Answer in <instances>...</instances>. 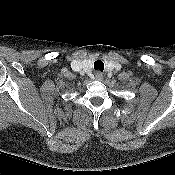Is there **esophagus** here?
Listing matches in <instances>:
<instances>
[{"instance_id":"obj_1","label":"esophagus","mask_w":175,"mask_h":175,"mask_svg":"<svg viewBox=\"0 0 175 175\" xmlns=\"http://www.w3.org/2000/svg\"><path fill=\"white\" fill-rule=\"evenodd\" d=\"M95 79L98 81H101L103 79V74L101 72H96L95 73Z\"/></svg>"}]
</instances>
